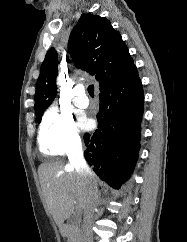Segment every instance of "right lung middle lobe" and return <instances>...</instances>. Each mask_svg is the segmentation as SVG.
<instances>
[{
  "instance_id": "right-lung-middle-lobe-1",
  "label": "right lung middle lobe",
  "mask_w": 187,
  "mask_h": 242,
  "mask_svg": "<svg viewBox=\"0 0 187 242\" xmlns=\"http://www.w3.org/2000/svg\"><path fill=\"white\" fill-rule=\"evenodd\" d=\"M42 115H43V114H41V115H39V116H36L38 123L41 121V117H42Z\"/></svg>"
}]
</instances>
